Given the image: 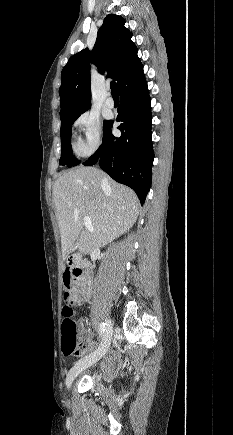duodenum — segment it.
I'll use <instances>...</instances> for the list:
<instances>
[{
  "instance_id": "obj_1",
  "label": "duodenum",
  "mask_w": 233,
  "mask_h": 435,
  "mask_svg": "<svg viewBox=\"0 0 233 435\" xmlns=\"http://www.w3.org/2000/svg\"><path fill=\"white\" fill-rule=\"evenodd\" d=\"M70 268L74 275L79 279L88 269L89 265L84 261L80 254H73L70 259ZM82 300L87 301L86 294H82Z\"/></svg>"
}]
</instances>
